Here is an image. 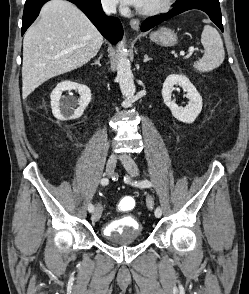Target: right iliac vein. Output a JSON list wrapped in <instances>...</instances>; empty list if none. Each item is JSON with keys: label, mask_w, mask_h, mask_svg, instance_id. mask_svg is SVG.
<instances>
[{"label": "right iliac vein", "mask_w": 249, "mask_h": 294, "mask_svg": "<svg viewBox=\"0 0 249 294\" xmlns=\"http://www.w3.org/2000/svg\"><path fill=\"white\" fill-rule=\"evenodd\" d=\"M116 163H117V156L112 153L106 163V174L108 176H112V174L114 173V170L116 168ZM102 215V205L98 204L95 208V211L92 214V221L96 222L101 218Z\"/></svg>", "instance_id": "1"}]
</instances>
